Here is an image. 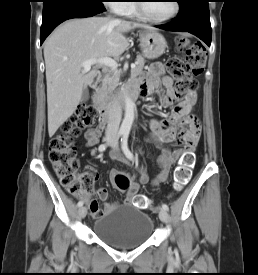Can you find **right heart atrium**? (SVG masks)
<instances>
[{
	"label": "right heart atrium",
	"instance_id": "1",
	"mask_svg": "<svg viewBox=\"0 0 258 275\" xmlns=\"http://www.w3.org/2000/svg\"><path fill=\"white\" fill-rule=\"evenodd\" d=\"M108 5L117 13H122L123 7L126 5V0H107Z\"/></svg>",
	"mask_w": 258,
	"mask_h": 275
}]
</instances>
